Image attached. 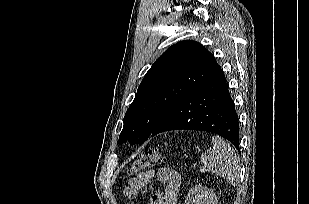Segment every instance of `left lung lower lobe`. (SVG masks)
Returning <instances> with one entry per match:
<instances>
[{
  "label": "left lung lower lobe",
  "instance_id": "0a47b994",
  "mask_svg": "<svg viewBox=\"0 0 309 204\" xmlns=\"http://www.w3.org/2000/svg\"><path fill=\"white\" fill-rule=\"evenodd\" d=\"M180 129L218 134L240 152L239 119L222 69L177 102L148 138Z\"/></svg>",
  "mask_w": 309,
  "mask_h": 204
}]
</instances>
